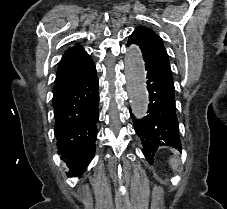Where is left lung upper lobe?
I'll use <instances>...</instances> for the list:
<instances>
[{
	"label": "left lung upper lobe",
	"mask_w": 227,
	"mask_h": 209,
	"mask_svg": "<svg viewBox=\"0 0 227 209\" xmlns=\"http://www.w3.org/2000/svg\"><path fill=\"white\" fill-rule=\"evenodd\" d=\"M139 46L145 67L154 68L173 82L172 71L169 65L167 52L161 38L150 28L137 27L130 35L127 45Z\"/></svg>",
	"instance_id": "5c2ea615"
}]
</instances>
